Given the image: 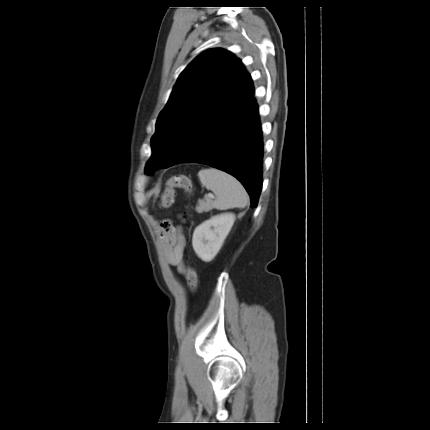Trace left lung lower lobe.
Returning a JSON list of instances; mask_svg holds the SVG:
<instances>
[{
  "mask_svg": "<svg viewBox=\"0 0 430 430\" xmlns=\"http://www.w3.org/2000/svg\"><path fill=\"white\" fill-rule=\"evenodd\" d=\"M263 138L254 96L234 116L212 115L200 123L185 149L164 168L182 162L206 164L237 178L257 206L262 188Z\"/></svg>",
  "mask_w": 430,
  "mask_h": 430,
  "instance_id": "left-lung-lower-lobe-1",
  "label": "left lung lower lobe"
}]
</instances>
